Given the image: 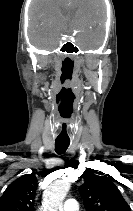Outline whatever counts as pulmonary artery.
<instances>
[{
	"label": "pulmonary artery",
	"mask_w": 133,
	"mask_h": 211,
	"mask_svg": "<svg viewBox=\"0 0 133 211\" xmlns=\"http://www.w3.org/2000/svg\"><path fill=\"white\" fill-rule=\"evenodd\" d=\"M63 211H78V203L75 199H68L65 201Z\"/></svg>",
	"instance_id": "1"
}]
</instances>
